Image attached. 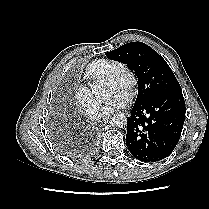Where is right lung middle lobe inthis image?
Wrapping results in <instances>:
<instances>
[{"label":"right lung middle lobe","mask_w":209,"mask_h":209,"mask_svg":"<svg viewBox=\"0 0 209 209\" xmlns=\"http://www.w3.org/2000/svg\"><path fill=\"white\" fill-rule=\"evenodd\" d=\"M55 144L57 147L62 151L63 153L67 155H74L80 153L81 149L79 147H76L71 142L66 141L65 139L62 140L60 138L55 140Z\"/></svg>","instance_id":"obj_1"}]
</instances>
